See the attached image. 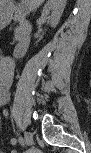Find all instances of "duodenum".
Wrapping results in <instances>:
<instances>
[{
	"mask_svg": "<svg viewBox=\"0 0 91 153\" xmlns=\"http://www.w3.org/2000/svg\"><path fill=\"white\" fill-rule=\"evenodd\" d=\"M13 20L17 21L19 27V39L13 51V57L20 58L27 52L32 35V25L26 17L25 7H20L12 13Z\"/></svg>",
	"mask_w": 91,
	"mask_h": 153,
	"instance_id": "1",
	"label": "duodenum"
}]
</instances>
